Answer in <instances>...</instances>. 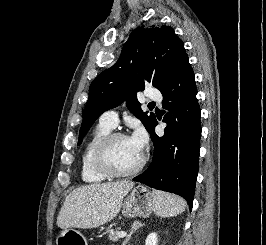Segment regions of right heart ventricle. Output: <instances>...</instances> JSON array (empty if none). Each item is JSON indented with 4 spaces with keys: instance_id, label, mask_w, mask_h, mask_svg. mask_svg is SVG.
I'll use <instances>...</instances> for the list:
<instances>
[{
    "instance_id": "obj_1",
    "label": "right heart ventricle",
    "mask_w": 266,
    "mask_h": 245,
    "mask_svg": "<svg viewBox=\"0 0 266 245\" xmlns=\"http://www.w3.org/2000/svg\"><path fill=\"white\" fill-rule=\"evenodd\" d=\"M111 130V126L99 122L86 140L80 161V177L85 184L98 185L108 179L96 170L93 162V154L97 145Z\"/></svg>"
}]
</instances>
